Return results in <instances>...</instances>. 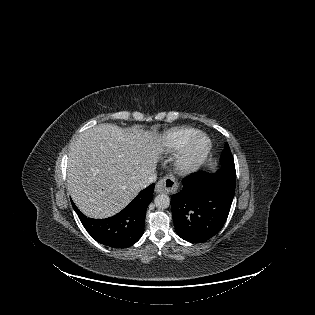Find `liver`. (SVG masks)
Segmentation results:
<instances>
[{
    "instance_id": "obj_1",
    "label": "liver",
    "mask_w": 315,
    "mask_h": 315,
    "mask_svg": "<svg viewBox=\"0 0 315 315\" xmlns=\"http://www.w3.org/2000/svg\"><path fill=\"white\" fill-rule=\"evenodd\" d=\"M165 151L156 132L98 124L79 135L68 152L67 190L88 217L121 211L154 174Z\"/></svg>"
}]
</instances>
